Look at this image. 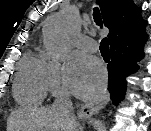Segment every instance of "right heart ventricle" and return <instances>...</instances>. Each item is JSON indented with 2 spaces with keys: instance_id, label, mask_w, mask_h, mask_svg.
Masks as SVG:
<instances>
[{
  "instance_id": "e07e8e85",
  "label": "right heart ventricle",
  "mask_w": 151,
  "mask_h": 131,
  "mask_svg": "<svg viewBox=\"0 0 151 131\" xmlns=\"http://www.w3.org/2000/svg\"><path fill=\"white\" fill-rule=\"evenodd\" d=\"M47 91L45 62L31 53L26 54L15 77L14 98L21 105H39Z\"/></svg>"
}]
</instances>
